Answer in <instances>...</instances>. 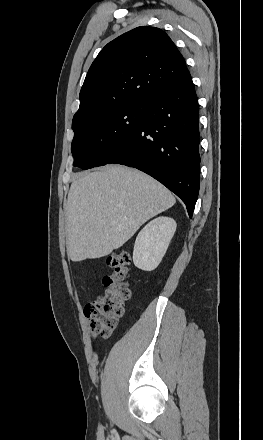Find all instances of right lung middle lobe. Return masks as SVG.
I'll list each match as a JSON object with an SVG mask.
<instances>
[{"instance_id":"1","label":"right lung middle lobe","mask_w":263,"mask_h":440,"mask_svg":"<svg viewBox=\"0 0 263 440\" xmlns=\"http://www.w3.org/2000/svg\"><path fill=\"white\" fill-rule=\"evenodd\" d=\"M145 102L119 105L96 113L74 130L71 151L74 166L89 169L106 165L115 148L139 126L145 117Z\"/></svg>"}]
</instances>
